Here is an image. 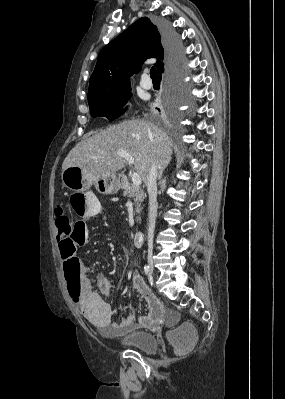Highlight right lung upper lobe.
<instances>
[{
  "label": "right lung upper lobe",
  "mask_w": 285,
  "mask_h": 399,
  "mask_svg": "<svg viewBox=\"0 0 285 399\" xmlns=\"http://www.w3.org/2000/svg\"><path fill=\"white\" fill-rule=\"evenodd\" d=\"M165 49L159 27L143 17L113 39L100 52L90 77L88 100L130 89V76L148 58H157L160 72Z\"/></svg>",
  "instance_id": "1"
}]
</instances>
